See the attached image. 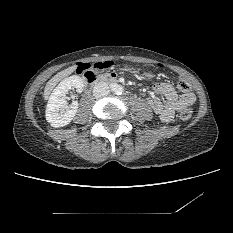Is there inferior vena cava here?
<instances>
[{
	"label": "inferior vena cava",
	"instance_id": "1",
	"mask_svg": "<svg viewBox=\"0 0 233 233\" xmlns=\"http://www.w3.org/2000/svg\"><path fill=\"white\" fill-rule=\"evenodd\" d=\"M109 93H110L109 86L105 82H99L93 88V95L97 98L106 96Z\"/></svg>",
	"mask_w": 233,
	"mask_h": 233
}]
</instances>
